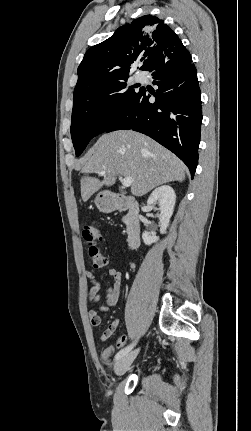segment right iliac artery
Masks as SVG:
<instances>
[{
	"label": "right iliac artery",
	"mask_w": 251,
	"mask_h": 431,
	"mask_svg": "<svg viewBox=\"0 0 251 431\" xmlns=\"http://www.w3.org/2000/svg\"><path fill=\"white\" fill-rule=\"evenodd\" d=\"M135 345V343H132L131 345L121 349L115 356V360H119L121 357H123L124 355H126Z\"/></svg>",
	"instance_id": "right-iliac-artery-1"
}]
</instances>
